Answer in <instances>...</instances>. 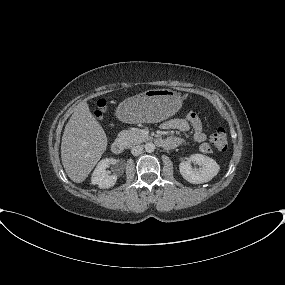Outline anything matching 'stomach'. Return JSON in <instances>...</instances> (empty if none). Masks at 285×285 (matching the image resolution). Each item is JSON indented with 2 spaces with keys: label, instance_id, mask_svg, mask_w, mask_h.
Segmentation results:
<instances>
[{
  "label": "stomach",
  "instance_id": "obj_1",
  "mask_svg": "<svg viewBox=\"0 0 285 285\" xmlns=\"http://www.w3.org/2000/svg\"><path fill=\"white\" fill-rule=\"evenodd\" d=\"M182 103V97L176 91L149 89L121 102L116 114L127 123H157L176 114Z\"/></svg>",
  "mask_w": 285,
  "mask_h": 285
}]
</instances>
